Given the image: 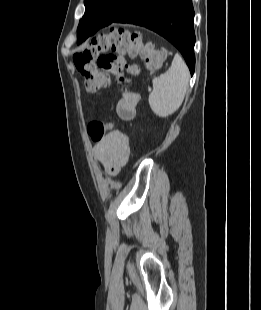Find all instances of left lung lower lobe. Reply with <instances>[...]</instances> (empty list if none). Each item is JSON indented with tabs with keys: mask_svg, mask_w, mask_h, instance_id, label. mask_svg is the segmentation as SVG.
Returning <instances> with one entry per match:
<instances>
[{
	"mask_svg": "<svg viewBox=\"0 0 261 310\" xmlns=\"http://www.w3.org/2000/svg\"><path fill=\"white\" fill-rule=\"evenodd\" d=\"M193 21L192 0H127L114 19L86 22L77 35V43L113 22L140 25L170 41L182 53L192 75L195 70Z\"/></svg>",
	"mask_w": 261,
	"mask_h": 310,
	"instance_id": "1",
	"label": "left lung lower lobe"
}]
</instances>
